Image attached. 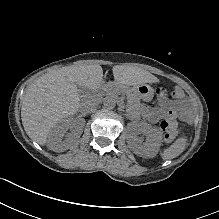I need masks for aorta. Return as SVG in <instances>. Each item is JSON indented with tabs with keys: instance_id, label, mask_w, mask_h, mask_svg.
Listing matches in <instances>:
<instances>
[{
	"instance_id": "obj_1",
	"label": "aorta",
	"mask_w": 219,
	"mask_h": 219,
	"mask_svg": "<svg viewBox=\"0 0 219 219\" xmlns=\"http://www.w3.org/2000/svg\"><path fill=\"white\" fill-rule=\"evenodd\" d=\"M117 100L116 98H105L104 99V107L108 110H112L116 107Z\"/></svg>"
}]
</instances>
